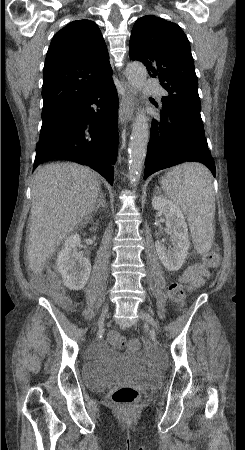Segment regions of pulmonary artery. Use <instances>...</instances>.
Returning <instances> with one entry per match:
<instances>
[{"instance_id": "obj_1", "label": "pulmonary artery", "mask_w": 245, "mask_h": 450, "mask_svg": "<svg viewBox=\"0 0 245 450\" xmlns=\"http://www.w3.org/2000/svg\"><path fill=\"white\" fill-rule=\"evenodd\" d=\"M143 86H144V91L146 93H159L160 94V91L158 89L159 87H158L156 81L153 79H146L143 82Z\"/></svg>"}]
</instances>
